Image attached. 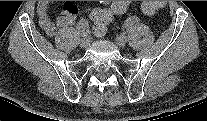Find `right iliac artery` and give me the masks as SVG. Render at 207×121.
Wrapping results in <instances>:
<instances>
[{"instance_id": "82829eb1", "label": "right iliac artery", "mask_w": 207, "mask_h": 121, "mask_svg": "<svg viewBox=\"0 0 207 121\" xmlns=\"http://www.w3.org/2000/svg\"><path fill=\"white\" fill-rule=\"evenodd\" d=\"M77 28L81 36H86L88 34L89 27L88 22L86 20H81Z\"/></svg>"}]
</instances>
